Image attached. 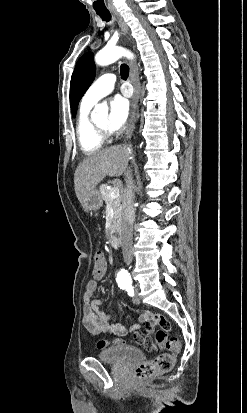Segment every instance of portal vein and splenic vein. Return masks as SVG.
Segmentation results:
<instances>
[{"label":"portal vein and splenic vein","instance_id":"18ae733b","mask_svg":"<svg viewBox=\"0 0 247 413\" xmlns=\"http://www.w3.org/2000/svg\"><path fill=\"white\" fill-rule=\"evenodd\" d=\"M107 188H109V194L110 196H112V198L119 196V186H112V188H110V186H107Z\"/></svg>","mask_w":247,"mask_h":413}]
</instances>
